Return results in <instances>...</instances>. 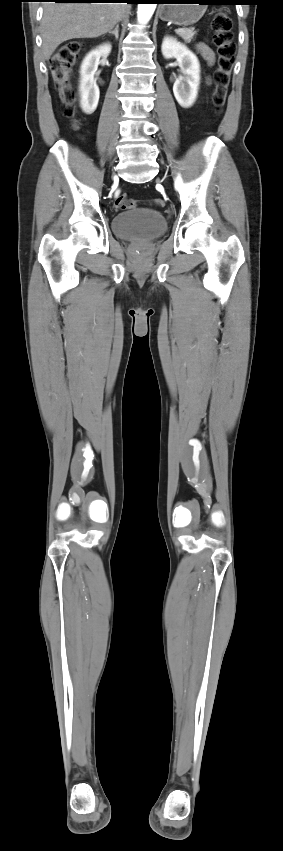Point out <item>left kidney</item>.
Returning <instances> with one entry per match:
<instances>
[{"label": "left kidney", "mask_w": 283, "mask_h": 851, "mask_svg": "<svg viewBox=\"0 0 283 851\" xmlns=\"http://www.w3.org/2000/svg\"><path fill=\"white\" fill-rule=\"evenodd\" d=\"M162 54L165 59L175 58L183 73L173 85L177 102L184 108L193 105L200 84V64L196 55L175 38L166 36L162 42Z\"/></svg>", "instance_id": "left-kidney-1"}]
</instances>
